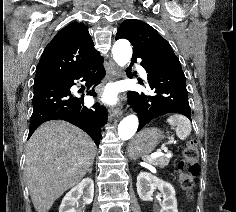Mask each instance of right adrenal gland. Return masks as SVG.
<instances>
[{
	"mask_svg": "<svg viewBox=\"0 0 236 212\" xmlns=\"http://www.w3.org/2000/svg\"><path fill=\"white\" fill-rule=\"evenodd\" d=\"M93 166H91L88 170L87 173H92Z\"/></svg>",
	"mask_w": 236,
	"mask_h": 212,
	"instance_id": "1",
	"label": "right adrenal gland"
}]
</instances>
